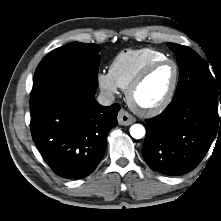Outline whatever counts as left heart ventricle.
<instances>
[{
    "label": "left heart ventricle",
    "mask_w": 221,
    "mask_h": 221,
    "mask_svg": "<svg viewBox=\"0 0 221 221\" xmlns=\"http://www.w3.org/2000/svg\"><path fill=\"white\" fill-rule=\"evenodd\" d=\"M174 78V68L164 64L151 71L135 92V101L142 107H151L159 103L168 92Z\"/></svg>",
    "instance_id": "1"
}]
</instances>
